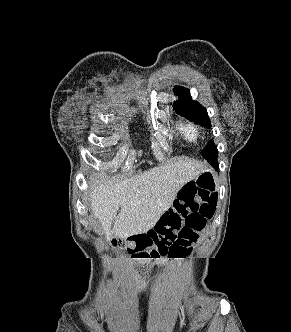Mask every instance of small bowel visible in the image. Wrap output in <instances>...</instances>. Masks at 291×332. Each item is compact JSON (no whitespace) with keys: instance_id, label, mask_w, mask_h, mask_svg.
I'll return each instance as SVG.
<instances>
[{"instance_id":"1","label":"small bowel","mask_w":291,"mask_h":332,"mask_svg":"<svg viewBox=\"0 0 291 332\" xmlns=\"http://www.w3.org/2000/svg\"><path fill=\"white\" fill-rule=\"evenodd\" d=\"M192 188H197V187L193 182H188L185 185H183L180 192L185 191V190H189V189H192ZM155 265L158 266V267H162L164 270H167V268L165 267V263L163 261L156 262Z\"/></svg>"}]
</instances>
